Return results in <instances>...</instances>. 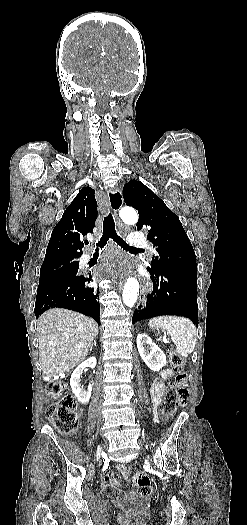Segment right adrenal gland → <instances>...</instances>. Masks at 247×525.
<instances>
[{
	"label": "right adrenal gland",
	"mask_w": 247,
	"mask_h": 525,
	"mask_svg": "<svg viewBox=\"0 0 247 525\" xmlns=\"http://www.w3.org/2000/svg\"><path fill=\"white\" fill-rule=\"evenodd\" d=\"M92 347H96V341H94V343H92V345L90 347V351H92Z\"/></svg>",
	"instance_id": "2a0ac1e0"
}]
</instances>
